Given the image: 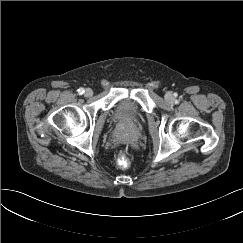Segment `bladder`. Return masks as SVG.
<instances>
[{"instance_id": "31cf9c89", "label": "bladder", "mask_w": 243, "mask_h": 243, "mask_svg": "<svg viewBox=\"0 0 243 243\" xmlns=\"http://www.w3.org/2000/svg\"><path fill=\"white\" fill-rule=\"evenodd\" d=\"M114 118L122 124H132L136 121V116L130 113L125 105H120L116 109Z\"/></svg>"}]
</instances>
